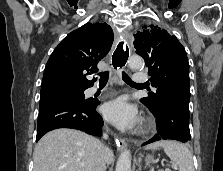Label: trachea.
Masks as SVG:
<instances>
[{
    "mask_svg": "<svg viewBox=\"0 0 223 171\" xmlns=\"http://www.w3.org/2000/svg\"><path fill=\"white\" fill-rule=\"evenodd\" d=\"M100 76L99 84H106L108 82L109 72H101L98 74ZM123 81L129 85H137V83L133 82L131 78L125 73L122 72Z\"/></svg>",
    "mask_w": 223,
    "mask_h": 171,
    "instance_id": "1",
    "label": "trachea"
}]
</instances>
